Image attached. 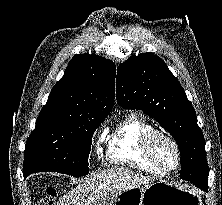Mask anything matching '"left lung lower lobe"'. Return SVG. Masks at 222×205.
<instances>
[{
	"label": "left lung lower lobe",
	"mask_w": 222,
	"mask_h": 205,
	"mask_svg": "<svg viewBox=\"0 0 222 205\" xmlns=\"http://www.w3.org/2000/svg\"><path fill=\"white\" fill-rule=\"evenodd\" d=\"M181 166L185 180L191 181L197 187L207 191L208 184L204 185L199 179H196L194 176H192V173L200 169V162L196 156H190L189 154H181Z\"/></svg>",
	"instance_id": "1"
}]
</instances>
